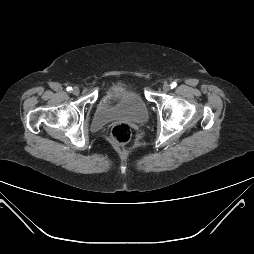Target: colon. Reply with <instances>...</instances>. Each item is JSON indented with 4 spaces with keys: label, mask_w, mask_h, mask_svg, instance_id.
<instances>
[{
    "label": "colon",
    "mask_w": 254,
    "mask_h": 254,
    "mask_svg": "<svg viewBox=\"0 0 254 254\" xmlns=\"http://www.w3.org/2000/svg\"><path fill=\"white\" fill-rule=\"evenodd\" d=\"M132 131L128 124L118 123L113 126L111 130V141L112 143L122 149H128V143L131 139Z\"/></svg>",
    "instance_id": "5ec220e1"
}]
</instances>
